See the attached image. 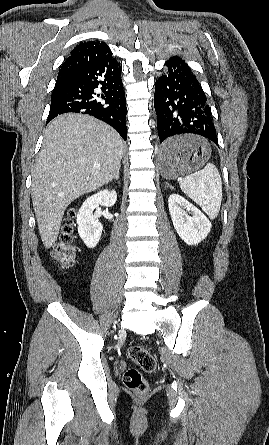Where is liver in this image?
<instances>
[{
  "label": "liver",
  "instance_id": "liver-1",
  "mask_svg": "<svg viewBox=\"0 0 269 445\" xmlns=\"http://www.w3.org/2000/svg\"><path fill=\"white\" fill-rule=\"evenodd\" d=\"M124 147L116 130L88 115L63 114L49 123L32 175V203L45 248L57 240L67 206L111 180Z\"/></svg>",
  "mask_w": 269,
  "mask_h": 445
}]
</instances>
